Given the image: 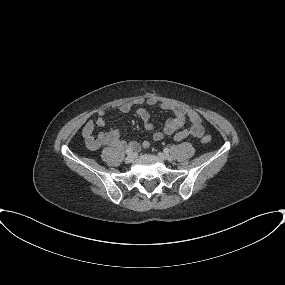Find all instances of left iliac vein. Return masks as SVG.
I'll return each mask as SVG.
<instances>
[{
	"label": "left iliac vein",
	"instance_id": "left-iliac-vein-1",
	"mask_svg": "<svg viewBox=\"0 0 285 285\" xmlns=\"http://www.w3.org/2000/svg\"><path fill=\"white\" fill-rule=\"evenodd\" d=\"M158 157L163 161L171 160V157L168 154L162 152L158 153Z\"/></svg>",
	"mask_w": 285,
	"mask_h": 285
}]
</instances>
